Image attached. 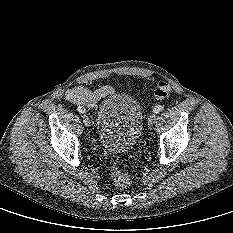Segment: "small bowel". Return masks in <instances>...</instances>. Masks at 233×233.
I'll use <instances>...</instances> for the list:
<instances>
[{"mask_svg": "<svg viewBox=\"0 0 233 233\" xmlns=\"http://www.w3.org/2000/svg\"><path fill=\"white\" fill-rule=\"evenodd\" d=\"M111 93L112 88L109 86H104L97 90H90L83 86H77L67 91L66 98L75 105L92 109L96 107L101 98H104Z\"/></svg>", "mask_w": 233, "mask_h": 233, "instance_id": "c3829d8e", "label": "small bowel"}]
</instances>
